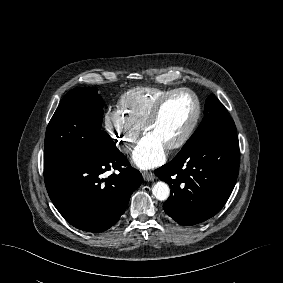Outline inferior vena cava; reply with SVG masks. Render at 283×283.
Here are the masks:
<instances>
[{
	"label": "inferior vena cava",
	"instance_id": "1",
	"mask_svg": "<svg viewBox=\"0 0 283 283\" xmlns=\"http://www.w3.org/2000/svg\"><path fill=\"white\" fill-rule=\"evenodd\" d=\"M132 146L130 145V144H125V148H124V150L125 151H127V152H129V151H131V148Z\"/></svg>",
	"mask_w": 283,
	"mask_h": 283
}]
</instances>
